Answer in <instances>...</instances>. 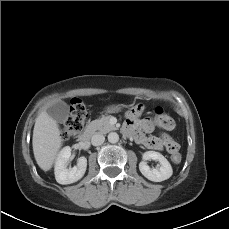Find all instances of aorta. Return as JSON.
Instances as JSON below:
<instances>
[{"mask_svg": "<svg viewBox=\"0 0 229 229\" xmlns=\"http://www.w3.org/2000/svg\"><path fill=\"white\" fill-rule=\"evenodd\" d=\"M108 141L110 143H117L119 141V135L116 132H111L108 134Z\"/></svg>", "mask_w": 229, "mask_h": 229, "instance_id": "762f6f07", "label": "aorta"}]
</instances>
